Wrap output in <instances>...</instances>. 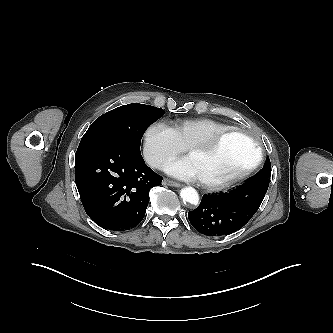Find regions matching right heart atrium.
I'll return each mask as SVG.
<instances>
[{
  "label": "right heart atrium",
  "instance_id": "obj_1",
  "mask_svg": "<svg viewBox=\"0 0 333 333\" xmlns=\"http://www.w3.org/2000/svg\"><path fill=\"white\" fill-rule=\"evenodd\" d=\"M185 150L173 129L162 121L151 123L144 133V155L149 164L163 168Z\"/></svg>",
  "mask_w": 333,
  "mask_h": 333
}]
</instances>
